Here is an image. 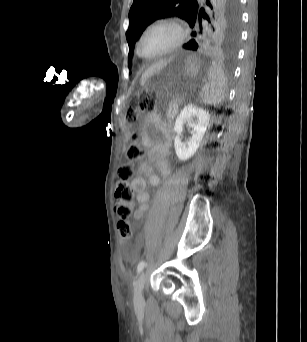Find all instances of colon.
<instances>
[{"label": "colon", "instance_id": "1", "mask_svg": "<svg viewBox=\"0 0 307 342\" xmlns=\"http://www.w3.org/2000/svg\"><path fill=\"white\" fill-rule=\"evenodd\" d=\"M149 110L147 100H133L127 108L125 118L129 123L135 122L138 117ZM124 156L128 163L122 164L118 168L114 196L118 201L117 214L120 217L117 228L119 238L123 243H128L132 236V224L129 220L132 214L133 191L129 186V180L134 177L133 163L140 161L144 156V148L136 141L127 146Z\"/></svg>", "mask_w": 307, "mask_h": 342}]
</instances>
